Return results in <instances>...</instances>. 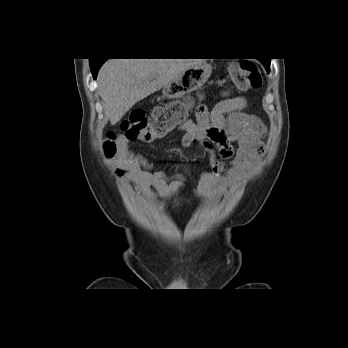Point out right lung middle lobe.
<instances>
[{
    "label": "right lung middle lobe",
    "instance_id": "dd1d6c3e",
    "mask_svg": "<svg viewBox=\"0 0 348 348\" xmlns=\"http://www.w3.org/2000/svg\"><path fill=\"white\" fill-rule=\"evenodd\" d=\"M101 60H105V59H90V64L95 62V61L101 62Z\"/></svg>",
    "mask_w": 348,
    "mask_h": 348
}]
</instances>
